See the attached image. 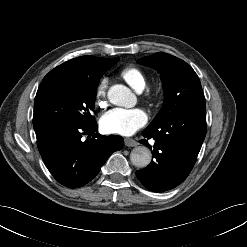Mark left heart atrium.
Returning a JSON list of instances; mask_svg holds the SVG:
<instances>
[{"label":"left heart atrium","mask_w":247,"mask_h":247,"mask_svg":"<svg viewBox=\"0 0 247 247\" xmlns=\"http://www.w3.org/2000/svg\"><path fill=\"white\" fill-rule=\"evenodd\" d=\"M147 120V114L140 108H115L101 117L100 126L106 133L129 136L143 127Z\"/></svg>","instance_id":"left-heart-atrium-1"}]
</instances>
